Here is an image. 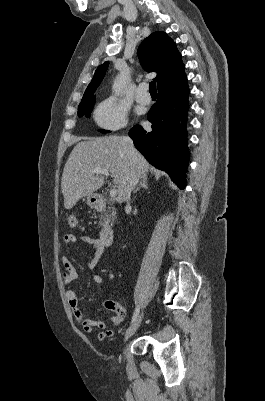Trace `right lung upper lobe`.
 Wrapping results in <instances>:
<instances>
[{"instance_id":"cb5924a9","label":"right lung upper lobe","mask_w":265,"mask_h":401,"mask_svg":"<svg viewBox=\"0 0 265 401\" xmlns=\"http://www.w3.org/2000/svg\"><path fill=\"white\" fill-rule=\"evenodd\" d=\"M138 57L146 71L157 72L154 80L157 82L158 91L175 88L186 81L181 54L166 33L158 31L148 36L139 47ZM108 65L107 61L97 68L81 102L94 97L93 94L100 85Z\"/></svg>"}]
</instances>
